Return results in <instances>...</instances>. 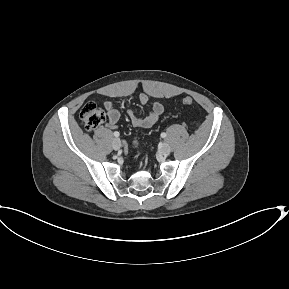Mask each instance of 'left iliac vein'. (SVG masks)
Wrapping results in <instances>:
<instances>
[{"label":"left iliac vein","instance_id":"4c4485c4","mask_svg":"<svg viewBox=\"0 0 289 289\" xmlns=\"http://www.w3.org/2000/svg\"><path fill=\"white\" fill-rule=\"evenodd\" d=\"M161 152L164 155H168L171 152L170 146L167 143H163L162 146H161Z\"/></svg>","mask_w":289,"mask_h":289}]
</instances>
